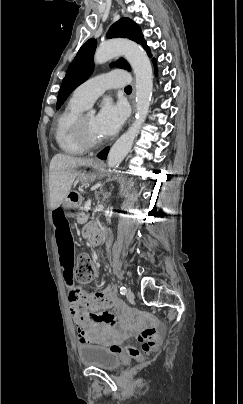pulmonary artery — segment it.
Instances as JSON below:
<instances>
[{"mask_svg": "<svg viewBox=\"0 0 243 404\" xmlns=\"http://www.w3.org/2000/svg\"><path fill=\"white\" fill-rule=\"evenodd\" d=\"M123 84L124 82L112 73H102L80 84L78 94L86 106L90 107L106 89L121 87Z\"/></svg>", "mask_w": 243, "mask_h": 404, "instance_id": "e3ab8cb5", "label": "pulmonary artery"}]
</instances>
